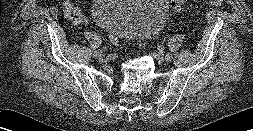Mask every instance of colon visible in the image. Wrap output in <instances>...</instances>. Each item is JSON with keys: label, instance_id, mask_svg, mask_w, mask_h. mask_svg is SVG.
Returning a JSON list of instances; mask_svg holds the SVG:
<instances>
[{"label": "colon", "instance_id": "5ec220e1", "mask_svg": "<svg viewBox=\"0 0 253 131\" xmlns=\"http://www.w3.org/2000/svg\"><path fill=\"white\" fill-rule=\"evenodd\" d=\"M188 0H171V6L175 10H179L182 8L187 3ZM223 3V0H207V4L209 6H220ZM110 41L112 44L117 47L118 46V38L114 35L111 34L109 36Z\"/></svg>", "mask_w": 253, "mask_h": 131}]
</instances>
